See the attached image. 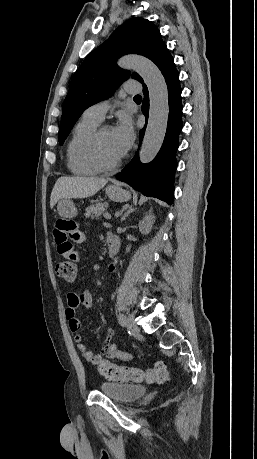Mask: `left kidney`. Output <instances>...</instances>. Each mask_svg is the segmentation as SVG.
I'll return each mask as SVG.
<instances>
[{
	"mask_svg": "<svg viewBox=\"0 0 257 459\" xmlns=\"http://www.w3.org/2000/svg\"><path fill=\"white\" fill-rule=\"evenodd\" d=\"M154 219V215L149 214L145 216L143 220L139 222V231L143 234H148L152 229Z\"/></svg>",
	"mask_w": 257,
	"mask_h": 459,
	"instance_id": "5707ae66",
	"label": "left kidney"
}]
</instances>
